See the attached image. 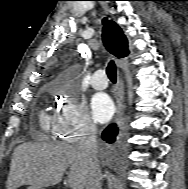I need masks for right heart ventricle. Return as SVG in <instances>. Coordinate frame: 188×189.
<instances>
[{
  "label": "right heart ventricle",
  "mask_w": 188,
  "mask_h": 189,
  "mask_svg": "<svg viewBox=\"0 0 188 189\" xmlns=\"http://www.w3.org/2000/svg\"><path fill=\"white\" fill-rule=\"evenodd\" d=\"M41 127L46 134L57 135L54 120L44 111L41 114Z\"/></svg>",
  "instance_id": "right-heart-ventricle-1"
}]
</instances>
